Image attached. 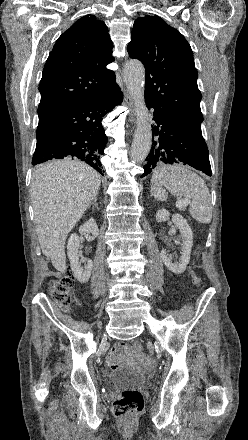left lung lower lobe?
Returning <instances> with one entry per match:
<instances>
[{
    "mask_svg": "<svg viewBox=\"0 0 248 440\" xmlns=\"http://www.w3.org/2000/svg\"><path fill=\"white\" fill-rule=\"evenodd\" d=\"M146 104L149 109L154 108L147 99ZM153 114V120L157 124L153 128V135L159 136V142L152 144L142 177L163 163L179 162L188 164L211 176L208 148L202 132L196 131L160 111L155 110Z\"/></svg>",
    "mask_w": 248,
    "mask_h": 440,
    "instance_id": "obj_1",
    "label": "left lung lower lobe"
}]
</instances>
